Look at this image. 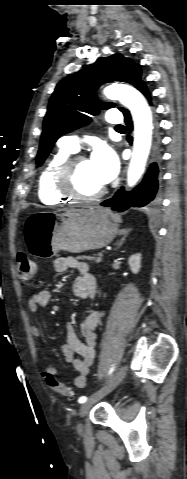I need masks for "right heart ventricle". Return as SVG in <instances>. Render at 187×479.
<instances>
[{"instance_id": "e07e8e85", "label": "right heart ventricle", "mask_w": 187, "mask_h": 479, "mask_svg": "<svg viewBox=\"0 0 187 479\" xmlns=\"http://www.w3.org/2000/svg\"><path fill=\"white\" fill-rule=\"evenodd\" d=\"M74 153V151L58 145L57 150L50 156L42 169L37 193L39 200L46 205L66 203L70 199L59 193L57 189V176L61 166Z\"/></svg>"}]
</instances>
